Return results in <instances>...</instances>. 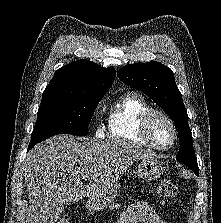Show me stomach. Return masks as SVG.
Returning a JSON list of instances; mask_svg holds the SVG:
<instances>
[{"label":"stomach","mask_w":221,"mask_h":223,"mask_svg":"<svg viewBox=\"0 0 221 223\" xmlns=\"http://www.w3.org/2000/svg\"><path fill=\"white\" fill-rule=\"evenodd\" d=\"M138 176L148 180H156L160 177L162 173V166L158 160L155 158H143L140 159L138 164ZM120 189L119 184H115L114 186L106 189L105 191L92 196L87 202V209L90 212H95L102 210L113 203V201L117 197V193Z\"/></svg>","instance_id":"1"}]
</instances>
